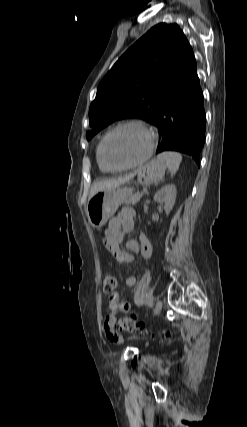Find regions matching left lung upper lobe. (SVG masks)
I'll return each mask as SVG.
<instances>
[{
	"label": "left lung upper lobe",
	"instance_id": "1",
	"mask_svg": "<svg viewBox=\"0 0 247 427\" xmlns=\"http://www.w3.org/2000/svg\"><path fill=\"white\" fill-rule=\"evenodd\" d=\"M197 68L193 50L177 24L160 23L132 45L105 75L89 109L91 139L110 123L141 118L155 123L168 95Z\"/></svg>",
	"mask_w": 247,
	"mask_h": 427
}]
</instances>
